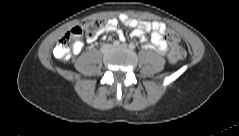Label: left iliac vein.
<instances>
[{"mask_svg":"<svg viewBox=\"0 0 239 136\" xmlns=\"http://www.w3.org/2000/svg\"><path fill=\"white\" fill-rule=\"evenodd\" d=\"M119 46V45H118ZM121 47H127V45L126 44H121L120 45Z\"/></svg>","mask_w":239,"mask_h":136,"instance_id":"4c4485c4","label":"left iliac vein"}]
</instances>
